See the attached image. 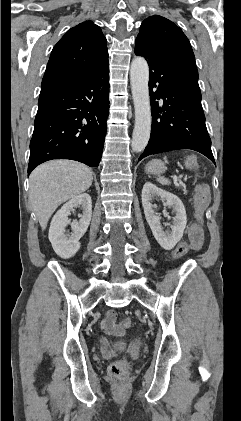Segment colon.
Wrapping results in <instances>:
<instances>
[{"mask_svg": "<svg viewBox=\"0 0 241 421\" xmlns=\"http://www.w3.org/2000/svg\"><path fill=\"white\" fill-rule=\"evenodd\" d=\"M188 165L193 168L196 166V160L193 157H190L188 160ZM210 202V190L206 184H201L197 188L196 197H195V208H194V217L198 222L203 220L205 210L207 209ZM189 250V243L186 241L180 242L172 252L171 258L173 260L180 259L183 257ZM120 324L124 327L130 325V319L128 317H123L120 320ZM126 371V362L124 360H117L113 362L109 367V372L111 376L120 379Z\"/></svg>", "mask_w": 241, "mask_h": 421, "instance_id": "colon-1", "label": "colon"}]
</instances>
